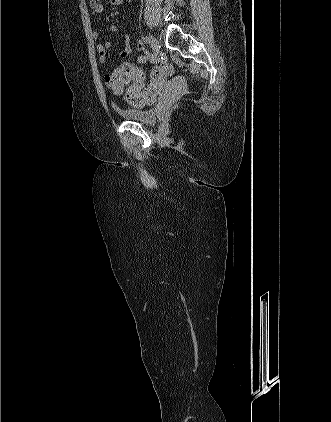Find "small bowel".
<instances>
[{"mask_svg": "<svg viewBox=\"0 0 331 422\" xmlns=\"http://www.w3.org/2000/svg\"><path fill=\"white\" fill-rule=\"evenodd\" d=\"M106 2L110 5L119 6L123 3V0H106ZM90 13L92 16H96L103 12L104 10V2L103 0H90ZM120 28L116 25H112L109 27L108 32L114 33L119 31ZM125 35V48L120 52L121 58H126L132 53L131 48V41L130 36L127 32H124ZM91 36L94 40H98L100 35L98 31H92ZM111 47V42L109 40L105 41L104 43H98L96 45V51L98 54L99 62L104 64L106 62V53L107 50ZM137 49L142 51V53L138 56L137 61L140 64L146 63L149 59L150 53L145 50V43L143 41H139L137 44ZM105 82L107 87L111 88L110 77L107 75L105 77ZM135 89L139 92V94L148 97L150 99V103L154 102L156 97L164 90L165 88V81L164 79L156 78L152 73L151 81L148 84H145L144 76L139 81L133 84ZM131 104L135 106H142L144 104L137 103L135 101L127 99ZM149 103V104H150Z\"/></svg>", "mask_w": 331, "mask_h": 422, "instance_id": "small-bowel-1", "label": "small bowel"}]
</instances>
